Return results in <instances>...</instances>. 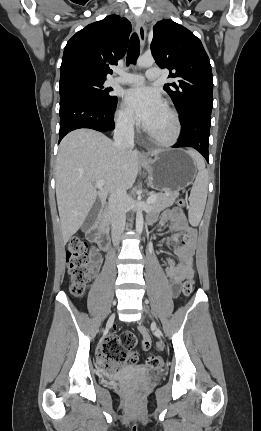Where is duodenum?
<instances>
[{
  "label": "duodenum",
  "mask_w": 261,
  "mask_h": 431,
  "mask_svg": "<svg viewBox=\"0 0 261 431\" xmlns=\"http://www.w3.org/2000/svg\"><path fill=\"white\" fill-rule=\"evenodd\" d=\"M91 239L95 241L98 246L106 251L110 248V237L106 230V209L102 208L98 214L94 230L91 234Z\"/></svg>",
  "instance_id": "410a0bca"
}]
</instances>
